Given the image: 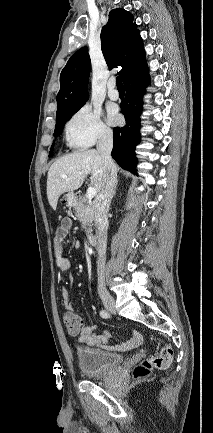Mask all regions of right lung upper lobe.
Instances as JSON below:
<instances>
[{
	"mask_svg": "<svg viewBox=\"0 0 213 433\" xmlns=\"http://www.w3.org/2000/svg\"><path fill=\"white\" fill-rule=\"evenodd\" d=\"M133 15L124 9H113L101 30V49L110 69L122 66L119 72L123 82L146 60L142 38L133 23ZM88 48L79 49L67 62L60 74V90L57 94L56 119L67 111L84 104L90 73Z\"/></svg>",
	"mask_w": 213,
	"mask_h": 433,
	"instance_id": "right-lung-upper-lobe-1",
	"label": "right lung upper lobe"
}]
</instances>
